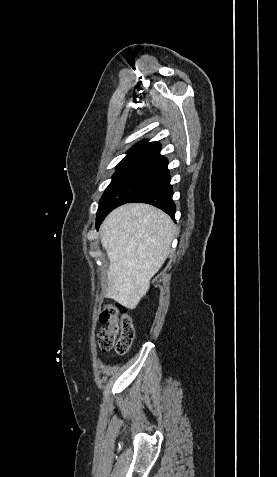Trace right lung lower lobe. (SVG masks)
<instances>
[{"label":"right lung lower lobe","instance_id":"right-lung-lower-lobe-1","mask_svg":"<svg viewBox=\"0 0 277 477\" xmlns=\"http://www.w3.org/2000/svg\"><path fill=\"white\" fill-rule=\"evenodd\" d=\"M172 194L169 170L166 165L161 169L157 177L128 203L142 202L151 204L162 209L174 219L176 206L172 200Z\"/></svg>","mask_w":277,"mask_h":477}]
</instances>
